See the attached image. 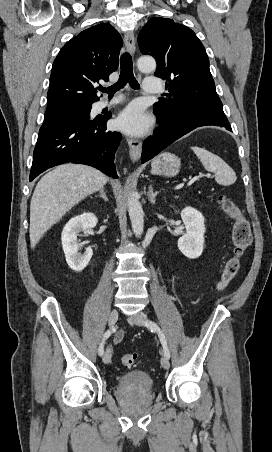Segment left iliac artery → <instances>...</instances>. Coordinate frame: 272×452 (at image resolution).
<instances>
[{
    "instance_id": "obj_1",
    "label": "left iliac artery",
    "mask_w": 272,
    "mask_h": 452,
    "mask_svg": "<svg viewBox=\"0 0 272 452\" xmlns=\"http://www.w3.org/2000/svg\"><path fill=\"white\" fill-rule=\"evenodd\" d=\"M146 326L151 329V331H156L158 332L161 344L163 346V350H164V356H166L168 359L170 358V352L167 346V342H166V338L165 335L163 334V332L161 331L160 327L153 321H147L146 322Z\"/></svg>"
}]
</instances>
